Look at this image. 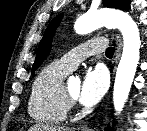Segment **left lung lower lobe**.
<instances>
[{
  "instance_id": "1",
  "label": "left lung lower lobe",
  "mask_w": 147,
  "mask_h": 131,
  "mask_svg": "<svg viewBox=\"0 0 147 131\" xmlns=\"http://www.w3.org/2000/svg\"><path fill=\"white\" fill-rule=\"evenodd\" d=\"M105 130L106 131H112V128L110 126H108Z\"/></svg>"
}]
</instances>
